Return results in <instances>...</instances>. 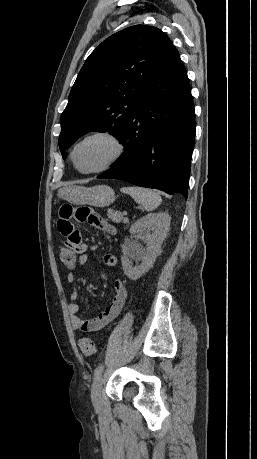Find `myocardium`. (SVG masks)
I'll list each match as a JSON object with an SVG mask.
<instances>
[{
    "label": "myocardium",
    "mask_w": 257,
    "mask_h": 459,
    "mask_svg": "<svg viewBox=\"0 0 257 459\" xmlns=\"http://www.w3.org/2000/svg\"><path fill=\"white\" fill-rule=\"evenodd\" d=\"M97 138H103L112 143V145L114 146V152L112 156L107 161H105L103 164H101L100 166L94 169H91V170L80 169L75 160V153H76L77 148L83 143L89 140H92V139H97ZM124 152H125L124 143L122 142V140L117 134L109 130H97V131H93V132L86 134L85 136H83L82 138H80L78 141L75 142L70 152V159H71L73 166L78 172L82 174H96V173L106 171L109 168H111L113 165H115L122 158Z\"/></svg>",
    "instance_id": "obj_1"
}]
</instances>
